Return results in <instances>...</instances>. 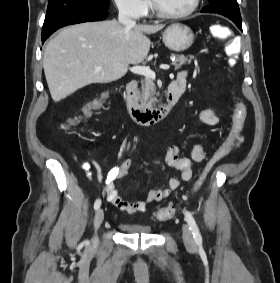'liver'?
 <instances>
[{
	"label": "liver",
	"instance_id": "6515ba94",
	"mask_svg": "<svg viewBox=\"0 0 280 283\" xmlns=\"http://www.w3.org/2000/svg\"><path fill=\"white\" fill-rule=\"evenodd\" d=\"M164 25L123 26L116 20L69 26L46 46L43 68L52 99L58 102L90 83L123 77L144 61L154 34Z\"/></svg>",
	"mask_w": 280,
	"mask_h": 283
}]
</instances>
